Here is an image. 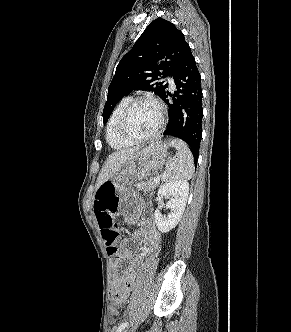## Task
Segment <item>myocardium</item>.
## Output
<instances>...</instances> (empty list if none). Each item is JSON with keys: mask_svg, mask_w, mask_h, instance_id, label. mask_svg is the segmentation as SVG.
Here are the masks:
<instances>
[{"mask_svg": "<svg viewBox=\"0 0 291 332\" xmlns=\"http://www.w3.org/2000/svg\"><path fill=\"white\" fill-rule=\"evenodd\" d=\"M140 102H150L152 104H154L159 112V125L158 128L150 135L147 136H143V137H134L130 134L127 133L126 131V120L127 117L130 113V111L132 110V108ZM166 125V111H165V107L163 105V103L158 100L155 97L152 96H138L135 97L133 99H131L127 105L124 107L119 120H118V132L120 134V136L131 143H142V142H146V141H150L155 139L156 137H158L164 130Z\"/></svg>", "mask_w": 291, "mask_h": 332, "instance_id": "f54148a6", "label": "myocardium"}]
</instances>
